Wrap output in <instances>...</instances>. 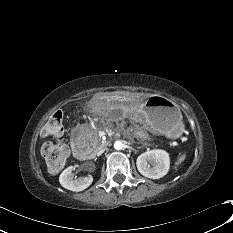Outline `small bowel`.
Segmentation results:
<instances>
[{
	"label": "small bowel",
	"mask_w": 233,
	"mask_h": 233,
	"mask_svg": "<svg viewBox=\"0 0 233 233\" xmlns=\"http://www.w3.org/2000/svg\"><path fill=\"white\" fill-rule=\"evenodd\" d=\"M58 136H61V133H60V134H58V135H56L55 137H58Z\"/></svg>",
	"instance_id": "obj_1"
}]
</instances>
